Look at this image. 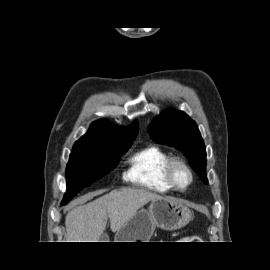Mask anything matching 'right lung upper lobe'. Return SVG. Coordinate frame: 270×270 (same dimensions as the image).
<instances>
[{
    "mask_svg": "<svg viewBox=\"0 0 270 270\" xmlns=\"http://www.w3.org/2000/svg\"><path fill=\"white\" fill-rule=\"evenodd\" d=\"M138 132V122L130 127H117L105 119L95 121L89 131L74 146H105L132 142Z\"/></svg>",
    "mask_w": 270,
    "mask_h": 270,
    "instance_id": "1",
    "label": "right lung upper lobe"
}]
</instances>
